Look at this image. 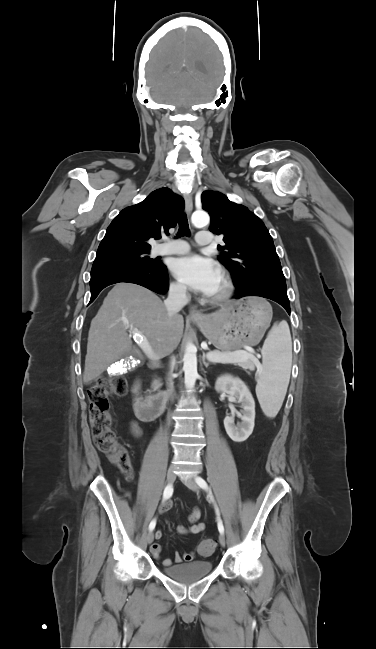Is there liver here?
Returning <instances> with one entry per match:
<instances>
[{"label": "liver", "mask_w": 376, "mask_h": 649, "mask_svg": "<svg viewBox=\"0 0 376 649\" xmlns=\"http://www.w3.org/2000/svg\"><path fill=\"white\" fill-rule=\"evenodd\" d=\"M146 337L156 359L171 354L180 343L184 319L180 314L168 316L162 300L152 291L131 283H118L108 293L97 315L91 321L83 382L98 378L107 367L123 355L141 357L132 346L127 330Z\"/></svg>", "instance_id": "6515ba94"}]
</instances>
